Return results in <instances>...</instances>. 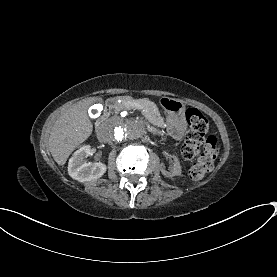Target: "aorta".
Segmentation results:
<instances>
[{
    "label": "aorta",
    "instance_id": "obj_1",
    "mask_svg": "<svg viewBox=\"0 0 277 277\" xmlns=\"http://www.w3.org/2000/svg\"><path fill=\"white\" fill-rule=\"evenodd\" d=\"M147 122L138 116H120L112 119L109 130L117 144H131L140 141L147 132Z\"/></svg>",
    "mask_w": 277,
    "mask_h": 277
}]
</instances>
